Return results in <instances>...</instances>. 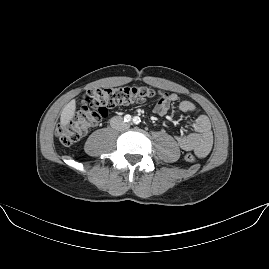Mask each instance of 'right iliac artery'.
Instances as JSON below:
<instances>
[{
	"label": "right iliac artery",
	"instance_id": "1",
	"mask_svg": "<svg viewBox=\"0 0 269 269\" xmlns=\"http://www.w3.org/2000/svg\"><path fill=\"white\" fill-rule=\"evenodd\" d=\"M131 116L130 115H126L125 117H124V122H127V123H129V122H131Z\"/></svg>",
	"mask_w": 269,
	"mask_h": 269
}]
</instances>
